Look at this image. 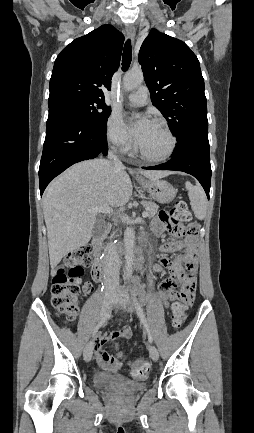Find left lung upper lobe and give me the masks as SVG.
<instances>
[{"label":"left lung upper lobe","mask_w":254,"mask_h":433,"mask_svg":"<svg viewBox=\"0 0 254 433\" xmlns=\"http://www.w3.org/2000/svg\"><path fill=\"white\" fill-rule=\"evenodd\" d=\"M153 105L177 142L193 132L208 133L204 79L196 55L181 40L152 29L138 57Z\"/></svg>","instance_id":"obj_1"}]
</instances>
